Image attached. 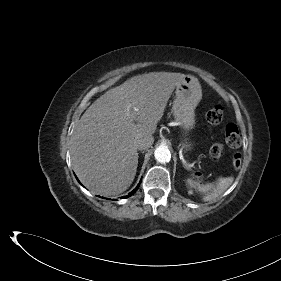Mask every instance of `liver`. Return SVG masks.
Wrapping results in <instances>:
<instances>
[{"mask_svg":"<svg viewBox=\"0 0 281 281\" xmlns=\"http://www.w3.org/2000/svg\"><path fill=\"white\" fill-rule=\"evenodd\" d=\"M185 75L150 72L109 89L81 116L71 137L74 172L93 193L126 191L138 165L137 140L152 136Z\"/></svg>","mask_w":281,"mask_h":281,"instance_id":"6515ba94","label":"liver"}]
</instances>
